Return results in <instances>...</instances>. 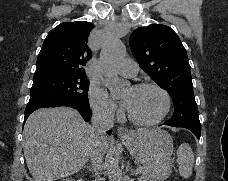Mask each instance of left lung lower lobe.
<instances>
[{
  "mask_svg": "<svg viewBox=\"0 0 228 181\" xmlns=\"http://www.w3.org/2000/svg\"><path fill=\"white\" fill-rule=\"evenodd\" d=\"M165 125H169V124H166L164 122ZM170 126V125H169ZM187 129H189L190 131H192L196 137L199 139L200 138V134H201V128H192V127H188Z\"/></svg>",
  "mask_w": 228,
  "mask_h": 181,
  "instance_id": "left-lung-lower-lobe-1",
  "label": "left lung lower lobe"
}]
</instances>
